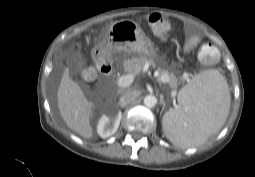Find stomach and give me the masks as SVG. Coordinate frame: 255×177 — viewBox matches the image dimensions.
Here are the masks:
<instances>
[{"instance_id": "0dacf381", "label": "stomach", "mask_w": 255, "mask_h": 177, "mask_svg": "<svg viewBox=\"0 0 255 177\" xmlns=\"http://www.w3.org/2000/svg\"><path fill=\"white\" fill-rule=\"evenodd\" d=\"M95 49L102 58H110L114 54L122 53L157 58L152 41L136 22L128 19L114 22Z\"/></svg>"}]
</instances>
